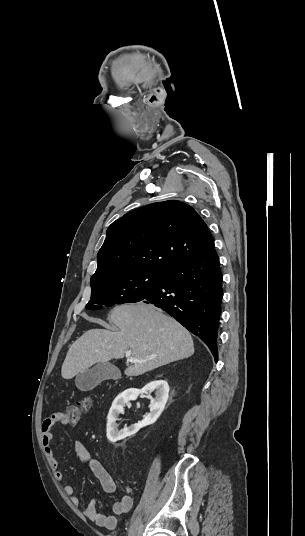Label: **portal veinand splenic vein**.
Returning <instances> with one entry per match:
<instances>
[{"instance_id":"portal-vein-and-splenic-vein-1","label":"portal vein and splenic vein","mask_w":305,"mask_h":536,"mask_svg":"<svg viewBox=\"0 0 305 536\" xmlns=\"http://www.w3.org/2000/svg\"><path fill=\"white\" fill-rule=\"evenodd\" d=\"M127 362H131V364H136V362H140V360H135V358H131V354L127 352L126 354Z\"/></svg>"}]
</instances>
